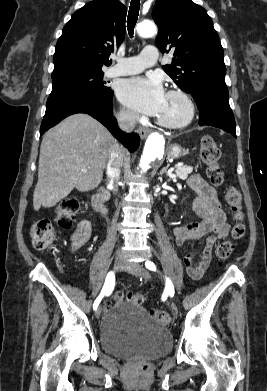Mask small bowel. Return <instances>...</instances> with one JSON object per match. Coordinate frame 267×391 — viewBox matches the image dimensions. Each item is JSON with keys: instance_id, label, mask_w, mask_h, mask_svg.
<instances>
[{"instance_id": "obj_1", "label": "small bowel", "mask_w": 267, "mask_h": 391, "mask_svg": "<svg viewBox=\"0 0 267 391\" xmlns=\"http://www.w3.org/2000/svg\"><path fill=\"white\" fill-rule=\"evenodd\" d=\"M189 185L196 193L192 209L202 220L187 226L175 227L173 237L176 246H182L188 241L204 242L198 260H194L190 254L185 256L187 272L192 279L197 280L208 267L216 242L228 235L230 225L226 222V215L215 189L207 181L194 175L189 179ZM91 232L90 222L81 221L70 236V251L76 252L81 249L89 241Z\"/></svg>"}]
</instances>
